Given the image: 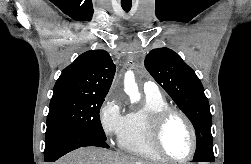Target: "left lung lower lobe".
I'll list each match as a JSON object with an SVG mask.
<instances>
[{"label": "left lung lower lobe", "mask_w": 251, "mask_h": 164, "mask_svg": "<svg viewBox=\"0 0 251 164\" xmlns=\"http://www.w3.org/2000/svg\"><path fill=\"white\" fill-rule=\"evenodd\" d=\"M193 162H214V160L193 159Z\"/></svg>", "instance_id": "1"}]
</instances>
